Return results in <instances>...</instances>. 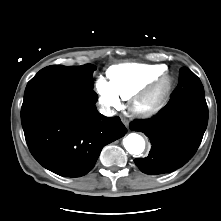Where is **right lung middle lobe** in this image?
<instances>
[{
	"mask_svg": "<svg viewBox=\"0 0 221 221\" xmlns=\"http://www.w3.org/2000/svg\"><path fill=\"white\" fill-rule=\"evenodd\" d=\"M94 70L96 67L92 64L83 66L52 65L40 70L28 84L46 82L75 89H92Z\"/></svg>",
	"mask_w": 221,
	"mask_h": 221,
	"instance_id": "1",
	"label": "right lung middle lobe"
}]
</instances>
